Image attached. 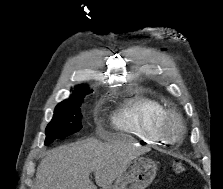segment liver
Segmentation results:
<instances>
[{
    "mask_svg": "<svg viewBox=\"0 0 223 189\" xmlns=\"http://www.w3.org/2000/svg\"><path fill=\"white\" fill-rule=\"evenodd\" d=\"M143 151L122 142L77 141L48 151L40 162L34 189H107Z\"/></svg>",
    "mask_w": 223,
    "mask_h": 189,
    "instance_id": "6515ba94",
    "label": "liver"
}]
</instances>
